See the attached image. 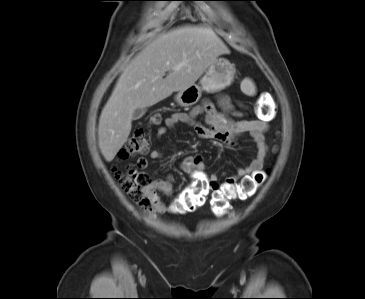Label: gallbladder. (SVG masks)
Masks as SVG:
<instances>
[{
  "label": "gallbladder",
  "instance_id": "gallbladder-1",
  "mask_svg": "<svg viewBox=\"0 0 365 299\" xmlns=\"http://www.w3.org/2000/svg\"><path fill=\"white\" fill-rule=\"evenodd\" d=\"M146 113L145 108H137L132 114V120L140 119Z\"/></svg>",
  "mask_w": 365,
  "mask_h": 299
}]
</instances>
